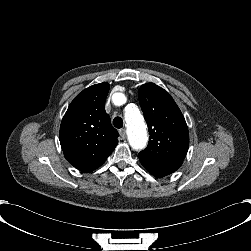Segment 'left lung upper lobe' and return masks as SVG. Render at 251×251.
<instances>
[{"label": "left lung upper lobe", "instance_id": "obj_1", "mask_svg": "<svg viewBox=\"0 0 251 251\" xmlns=\"http://www.w3.org/2000/svg\"><path fill=\"white\" fill-rule=\"evenodd\" d=\"M139 103L149 129V144L138 154L157 168L175 172L189 147L186 121L171 95L154 83L139 88Z\"/></svg>", "mask_w": 251, "mask_h": 251}]
</instances>
